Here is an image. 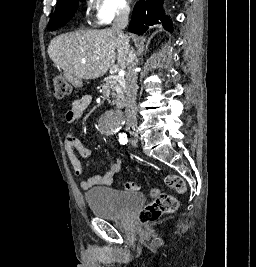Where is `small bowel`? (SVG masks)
Listing matches in <instances>:
<instances>
[{
    "mask_svg": "<svg viewBox=\"0 0 256 267\" xmlns=\"http://www.w3.org/2000/svg\"><path fill=\"white\" fill-rule=\"evenodd\" d=\"M91 101L92 97L89 94H84L80 98L75 99L71 104L70 110L65 115L66 122L72 123L80 119L91 104ZM64 146L74 174L81 176L84 173V169L78 154L88 159L91 156L90 150L84 146L83 142L73 131L69 132L66 136ZM121 167V160H117L109 165L104 175H96L92 178L83 179L80 182V186L84 190H88L94 186H109L113 183Z\"/></svg>",
    "mask_w": 256,
    "mask_h": 267,
    "instance_id": "obj_1",
    "label": "small bowel"
}]
</instances>
